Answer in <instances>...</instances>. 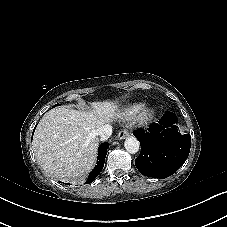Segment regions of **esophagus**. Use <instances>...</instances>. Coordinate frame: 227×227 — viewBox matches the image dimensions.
<instances>
[{
    "label": "esophagus",
    "mask_w": 227,
    "mask_h": 227,
    "mask_svg": "<svg viewBox=\"0 0 227 227\" xmlns=\"http://www.w3.org/2000/svg\"><path fill=\"white\" fill-rule=\"evenodd\" d=\"M129 135V132L127 130H122L119 132L117 138L119 140L125 139Z\"/></svg>",
    "instance_id": "obj_1"
}]
</instances>
